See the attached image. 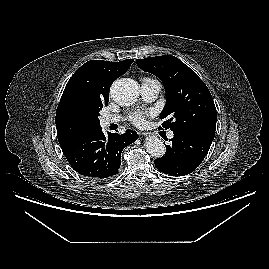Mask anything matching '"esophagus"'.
<instances>
[{
  "label": "esophagus",
  "instance_id": "34e87169",
  "mask_svg": "<svg viewBox=\"0 0 269 269\" xmlns=\"http://www.w3.org/2000/svg\"><path fill=\"white\" fill-rule=\"evenodd\" d=\"M141 135L142 136H148V135H150V133H148V132H142Z\"/></svg>",
  "mask_w": 269,
  "mask_h": 269
}]
</instances>
